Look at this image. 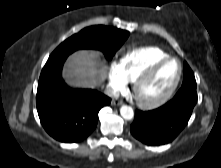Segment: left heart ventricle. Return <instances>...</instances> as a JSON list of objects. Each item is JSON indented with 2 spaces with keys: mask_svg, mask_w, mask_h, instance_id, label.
<instances>
[{
  "mask_svg": "<svg viewBox=\"0 0 221 168\" xmlns=\"http://www.w3.org/2000/svg\"><path fill=\"white\" fill-rule=\"evenodd\" d=\"M178 73V65L171 61L164 64L150 80L140 88V96L143 99H154L163 94L174 82Z\"/></svg>",
  "mask_w": 221,
  "mask_h": 168,
  "instance_id": "obj_1",
  "label": "left heart ventricle"
}]
</instances>
